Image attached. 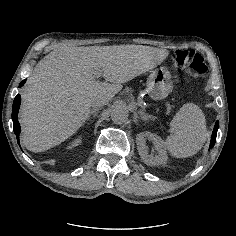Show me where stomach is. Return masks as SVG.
Here are the masks:
<instances>
[{
  "label": "stomach",
  "instance_id": "1",
  "mask_svg": "<svg viewBox=\"0 0 236 236\" xmlns=\"http://www.w3.org/2000/svg\"><path fill=\"white\" fill-rule=\"evenodd\" d=\"M146 92L153 100H160L168 96L172 91L173 83L167 69H155L149 75L146 83Z\"/></svg>",
  "mask_w": 236,
  "mask_h": 236
}]
</instances>
